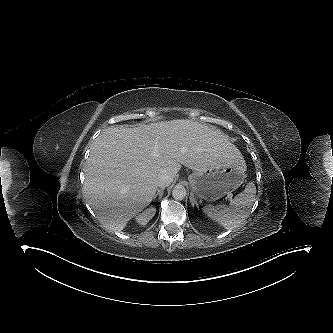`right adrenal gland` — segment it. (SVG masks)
<instances>
[{"mask_svg": "<svg viewBox=\"0 0 333 333\" xmlns=\"http://www.w3.org/2000/svg\"><path fill=\"white\" fill-rule=\"evenodd\" d=\"M164 189H165V188H161V189H158V190H157V193H156L155 196H154V200L156 199L157 196H159V199L162 198V196H163V192H164Z\"/></svg>", "mask_w": 333, "mask_h": 333, "instance_id": "1", "label": "right adrenal gland"}]
</instances>
